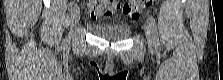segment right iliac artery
I'll list each match as a JSON object with an SVG mask.
<instances>
[{
	"label": "right iliac artery",
	"instance_id": "right-iliac-artery-1",
	"mask_svg": "<svg viewBox=\"0 0 223 80\" xmlns=\"http://www.w3.org/2000/svg\"><path fill=\"white\" fill-rule=\"evenodd\" d=\"M76 7H77V5H76L74 2H72V3L70 4V10H71V11L74 10Z\"/></svg>",
	"mask_w": 223,
	"mask_h": 80
}]
</instances>
